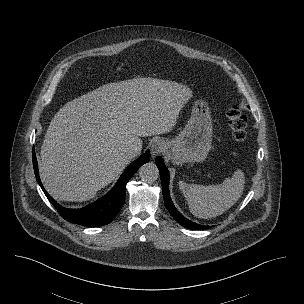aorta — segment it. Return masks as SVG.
Wrapping results in <instances>:
<instances>
[{
  "mask_svg": "<svg viewBox=\"0 0 304 304\" xmlns=\"http://www.w3.org/2000/svg\"><path fill=\"white\" fill-rule=\"evenodd\" d=\"M139 177L143 182L152 183L159 177V170L154 163L148 162L139 169Z\"/></svg>",
  "mask_w": 304,
  "mask_h": 304,
  "instance_id": "aorta-1",
  "label": "aorta"
}]
</instances>
